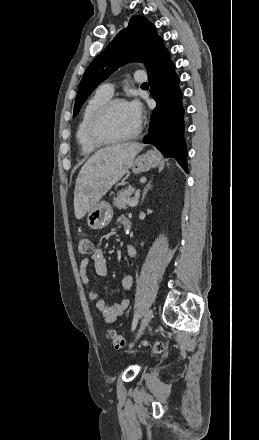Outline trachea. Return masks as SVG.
<instances>
[{"label": "trachea", "instance_id": "obj_1", "mask_svg": "<svg viewBox=\"0 0 259 440\" xmlns=\"http://www.w3.org/2000/svg\"><path fill=\"white\" fill-rule=\"evenodd\" d=\"M147 85H148L147 83H143V84H142V86H147Z\"/></svg>", "mask_w": 259, "mask_h": 440}]
</instances>
